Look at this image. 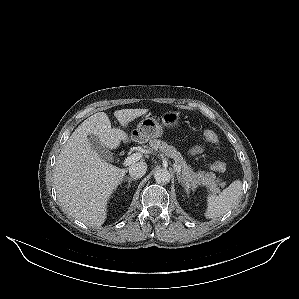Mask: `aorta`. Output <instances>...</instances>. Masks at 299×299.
Here are the masks:
<instances>
[{"label":"aorta","instance_id":"aorta-1","mask_svg":"<svg viewBox=\"0 0 299 299\" xmlns=\"http://www.w3.org/2000/svg\"><path fill=\"white\" fill-rule=\"evenodd\" d=\"M154 179L158 184H167L170 182L171 175L167 169L161 168L155 171Z\"/></svg>","mask_w":299,"mask_h":299}]
</instances>
